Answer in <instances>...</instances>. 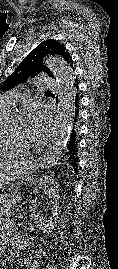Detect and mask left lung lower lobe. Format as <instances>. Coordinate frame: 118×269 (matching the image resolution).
Returning <instances> with one entry per match:
<instances>
[{
  "label": "left lung lower lobe",
  "mask_w": 118,
  "mask_h": 269,
  "mask_svg": "<svg viewBox=\"0 0 118 269\" xmlns=\"http://www.w3.org/2000/svg\"><path fill=\"white\" fill-rule=\"evenodd\" d=\"M78 82L74 84V87L77 88ZM76 91V89H75ZM79 94L75 92V103L73 108V117H74V125L77 122V117L79 113ZM77 138L76 133L73 129L70 138L68 139L66 150H65V156L68 159V162L73 166V168L77 171L78 167V158H77Z\"/></svg>",
  "instance_id": "obj_1"
}]
</instances>
